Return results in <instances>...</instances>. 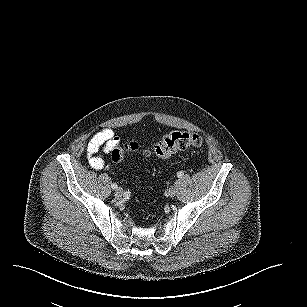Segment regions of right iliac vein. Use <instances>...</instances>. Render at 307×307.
I'll return each instance as SVG.
<instances>
[{
	"instance_id": "right-iliac-vein-1",
	"label": "right iliac vein",
	"mask_w": 307,
	"mask_h": 307,
	"mask_svg": "<svg viewBox=\"0 0 307 307\" xmlns=\"http://www.w3.org/2000/svg\"><path fill=\"white\" fill-rule=\"evenodd\" d=\"M123 196V190L121 188H117L115 190V197L116 198H121Z\"/></svg>"
}]
</instances>
